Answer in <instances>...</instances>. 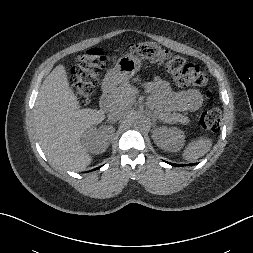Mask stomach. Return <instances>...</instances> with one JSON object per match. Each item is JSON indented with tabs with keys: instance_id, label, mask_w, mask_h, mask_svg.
<instances>
[{
	"instance_id": "obj_1",
	"label": "stomach",
	"mask_w": 253,
	"mask_h": 253,
	"mask_svg": "<svg viewBox=\"0 0 253 253\" xmlns=\"http://www.w3.org/2000/svg\"><path fill=\"white\" fill-rule=\"evenodd\" d=\"M141 66L142 60L136 55L126 54L120 57L114 68L106 74L103 81L104 89H114L118 84L127 81L140 70Z\"/></svg>"
}]
</instances>
